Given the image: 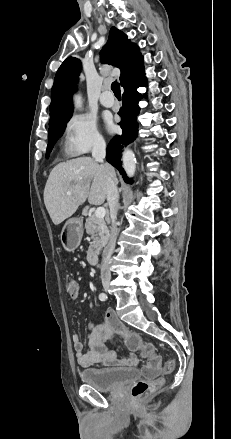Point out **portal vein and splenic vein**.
Segmentation results:
<instances>
[{"label": "portal vein and splenic vein", "mask_w": 231, "mask_h": 439, "mask_svg": "<svg viewBox=\"0 0 231 439\" xmlns=\"http://www.w3.org/2000/svg\"><path fill=\"white\" fill-rule=\"evenodd\" d=\"M67 194H71V192H67ZM106 215V210L103 207H98L95 211V216L99 219H103Z\"/></svg>", "instance_id": "18ae733b"}]
</instances>
